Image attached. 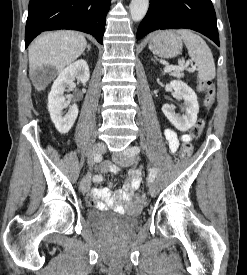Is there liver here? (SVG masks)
Returning a JSON list of instances; mask_svg holds the SVG:
<instances>
[{"mask_svg":"<svg viewBox=\"0 0 247 275\" xmlns=\"http://www.w3.org/2000/svg\"><path fill=\"white\" fill-rule=\"evenodd\" d=\"M86 47L85 37L75 31L61 30L41 35L29 47L30 76L32 77L37 69L46 66L61 71L80 57ZM45 86L36 84L39 91Z\"/></svg>","mask_w":247,"mask_h":275,"instance_id":"liver-1","label":"liver"}]
</instances>
